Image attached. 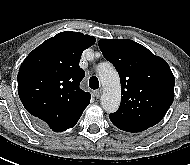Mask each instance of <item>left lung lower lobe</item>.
<instances>
[{
    "mask_svg": "<svg viewBox=\"0 0 190 165\" xmlns=\"http://www.w3.org/2000/svg\"><path fill=\"white\" fill-rule=\"evenodd\" d=\"M111 122L118 127L119 129L123 130V131H127V132H141L144 131L148 128H144V127H138V126H132L123 122H120L112 117H110Z\"/></svg>",
    "mask_w": 190,
    "mask_h": 165,
    "instance_id": "obj_1",
    "label": "left lung lower lobe"
}]
</instances>
